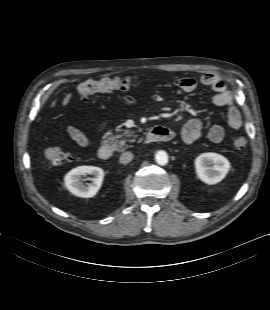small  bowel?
<instances>
[{
    "instance_id": "1",
    "label": "small bowel",
    "mask_w": 270,
    "mask_h": 310,
    "mask_svg": "<svg viewBox=\"0 0 270 310\" xmlns=\"http://www.w3.org/2000/svg\"><path fill=\"white\" fill-rule=\"evenodd\" d=\"M199 84L208 86L212 89L214 92L211 98L212 103L219 107H226L227 125L233 130L239 129L243 123L242 116L234 104V98L231 91L227 88V85L219 76L208 72L203 74L199 80L193 77H182L174 81L175 87L186 93L195 91ZM70 100L71 94L68 93L62 100L63 105H68ZM202 130L203 125L199 119L193 118L188 120L181 132L183 141L187 144L194 143L201 137ZM65 133L79 146L89 147L92 145V141L86 136V134L75 126H68L65 129ZM224 136L225 129L222 124H214L208 130V139L211 142L218 143L223 140Z\"/></svg>"
}]
</instances>
